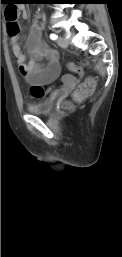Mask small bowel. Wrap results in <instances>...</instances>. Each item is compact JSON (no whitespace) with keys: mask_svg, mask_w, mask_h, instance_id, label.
<instances>
[{"mask_svg":"<svg viewBox=\"0 0 122 257\" xmlns=\"http://www.w3.org/2000/svg\"><path fill=\"white\" fill-rule=\"evenodd\" d=\"M17 13H20L24 19L28 16L24 6H19ZM41 36L42 26L39 16L37 15L33 19L27 38V48L31 54L30 59L27 60L26 55L21 49L18 34L10 36V45L20 73L30 85L38 83L39 85L46 86V84H50L58 78L61 68L58 53L44 44ZM39 60H44L45 63L41 64ZM48 90L47 98H49V94H51V89Z\"/></svg>","mask_w":122,"mask_h":257,"instance_id":"c3829d8e","label":"small bowel"}]
</instances>
